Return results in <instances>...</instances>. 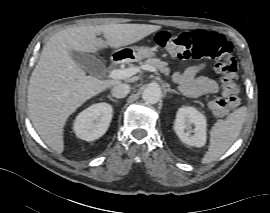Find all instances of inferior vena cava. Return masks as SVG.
Returning a JSON list of instances; mask_svg holds the SVG:
<instances>
[{
  "label": "inferior vena cava",
  "instance_id": "602c4592",
  "mask_svg": "<svg viewBox=\"0 0 270 213\" xmlns=\"http://www.w3.org/2000/svg\"><path fill=\"white\" fill-rule=\"evenodd\" d=\"M129 92L130 86L125 83L117 84L111 90V94L115 98H124L129 94Z\"/></svg>",
  "mask_w": 270,
  "mask_h": 213
}]
</instances>
